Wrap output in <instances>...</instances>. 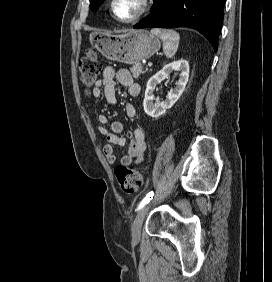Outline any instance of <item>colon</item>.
<instances>
[{
  "label": "colon",
  "instance_id": "colon-1",
  "mask_svg": "<svg viewBox=\"0 0 272 282\" xmlns=\"http://www.w3.org/2000/svg\"><path fill=\"white\" fill-rule=\"evenodd\" d=\"M81 70V81L86 88L95 87L100 74V63L98 52L91 48L88 49L79 62ZM115 175L118 184L125 194L136 192L142 185V175L123 165L115 168Z\"/></svg>",
  "mask_w": 272,
  "mask_h": 282
}]
</instances>
